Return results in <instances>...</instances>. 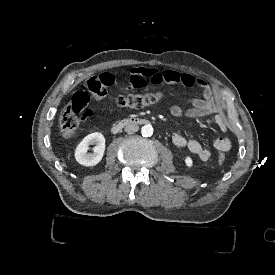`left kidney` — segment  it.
<instances>
[{
  "label": "left kidney",
  "instance_id": "5707ae66",
  "mask_svg": "<svg viewBox=\"0 0 275 275\" xmlns=\"http://www.w3.org/2000/svg\"><path fill=\"white\" fill-rule=\"evenodd\" d=\"M184 164H185V166H186L188 169L193 168L194 163H193L192 157L186 156V157L184 158Z\"/></svg>",
  "mask_w": 275,
  "mask_h": 275
}]
</instances>
